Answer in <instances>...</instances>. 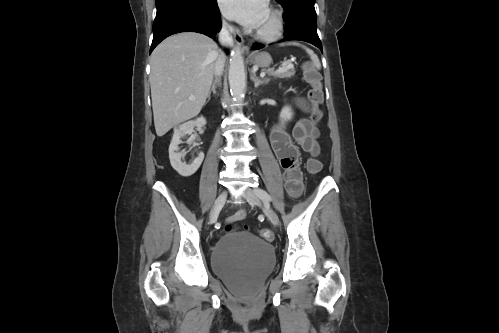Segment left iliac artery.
I'll return each instance as SVG.
<instances>
[{"label":"left iliac artery","mask_w":499,"mask_h":333,"mask_svg":"<svg viewBox=\"0 0 499 333\" xmlns=\"http://www.w3.org/2000/svg\"><path fill=\"white\" fill-rule=\"evenodd\" d=\"M255 192L264 202H269L272 200L271 196L263 189L257 188L255 189Z\"/></svg>","instance_id":"obj_1"}]
</instances>
